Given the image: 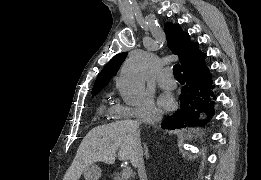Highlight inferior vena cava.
Returning a JSON list of instances; mask_svg holds the SVG:
<instances>
[{
    "instance_id": "1",
    "label": "inferior vena cava",
    "mask_w": 261,
    "mask_h": 180,
    "mask_svg": "<svg viewBox=\"0 0 261 180\" xmlns=\"http://www.w3.org/2000/svg\"><path fill=\"white\" fill-rule=\"evenodd\" d=\"M131 164H132V166H134V168H138V174H139L140 178H144L145 168H144V162H143L142 148H140V150H137L136 158H134V160H131Z\"/></svg>"
}]
</instances>
